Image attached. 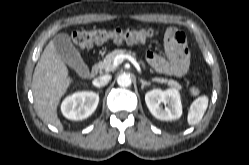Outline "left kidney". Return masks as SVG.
I'll list each match as a JSON object with an SVG mask.
<instances>
[{"mask_svg":"<svg viewBox=\"0 0 249 165\" xmlns=\"http://www.w3.org/2000/svg\"><path fill=\"white\" fill-rule=\"evenodd\" d=\"M145 102L151 114L159 120H177L182 115L181 98L175 89L148 91L145 94ZM162 104L165 106L164 109Z\"/></svg>","mask_w":249,"mask_h":165,"instance_id":"left-kidney-1","label":"left kidney"}]
</instances>
